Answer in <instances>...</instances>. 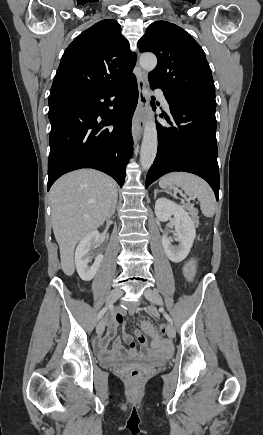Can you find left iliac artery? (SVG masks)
Here are the masks:
<instances>
[{"instance_id": "left-iliac-artery-1", "label": "left iliac artery", "mask_w": 263, "mask_h": 435, "mask_svg": "<svg viewBox=\"0 0 263 435\" xmlns=\"http://www.w3.org/2000/svg\"><path fill=\"white\" fill-rule=\"evenodd\" d=\"M163 311V310H162ZM164 317L170 322V323H172L173 324V321H172V319H171V317L167 314V313H164Z\"/></svg>"}]
</instances>
